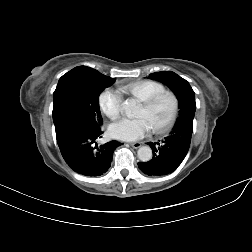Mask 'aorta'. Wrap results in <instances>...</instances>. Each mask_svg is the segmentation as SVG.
<instances>
[{
    "label": "aorta",
    "mask_w": 252,
    "mask_h": 252,
    "mask_svg": "<svg viewBox=\"0 0 252 252\" xmlns=\"http://www.w3.org/2000/svg\"><path fill=\"white\" fill-rule=\"evenodd\" d=\"M122 107L124 109L125 114L130 117L133 116V113L136 108V102L134 100H126L123 102ZM138 158L143 161L147 162L152 159V150L149 146H142L137 151Z\"/></svg>",
    "instance_id": "obj_1"
}]
</instances>
